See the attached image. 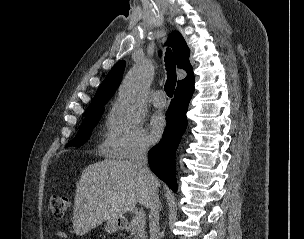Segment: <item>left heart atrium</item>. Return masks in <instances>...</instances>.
<instances>
[{
    "label": "left heart atrium",
    "mask_w": 304,
    "mask_h": 239,
    "mask_svg": "<svg viewBox=\"0 0 304 239\" xmlns=\"http://www.w3.org/2000/svg\"><path fill=\"white\" fill-rule=\"evenodd\" d=\"M166 127L165 117L161 113L152 116L149 123V137L152 142H157L163 135Z\"/></svg>",
    "instance_id": "1"
}]
</instances>
